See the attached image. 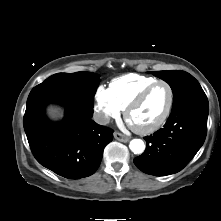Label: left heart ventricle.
<instances>
[{"mask_svg": "<svg viewBox=\"0 0 221 221\" xmlns=\"http://www.w3.org/2000/svg\"><path fill=\"white\" fill-rule=\"evenodd\" d=\"M169 102V90L161 84L156 86L130 115V122L136 127H148L164 114Z\"/></svg>", "mask_w": 221, "mask_h": 221, "instance_id": "1", "label": "left heart ventricle"}]
</instances>
